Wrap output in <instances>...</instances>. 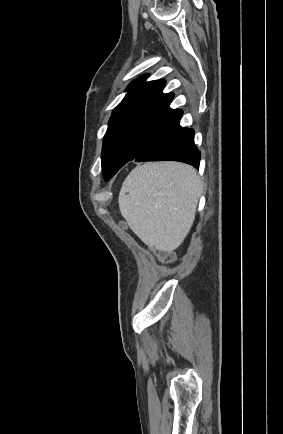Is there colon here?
<instances>
[{"instance_id": "obj_1", "label": "colon", "mask_w": 283, "mask_h": 434, "mask_svg": "<svg viewBox=\"0 0 283 434\" xmlns=\"http://www.w3.org/2000/svg\"><path fill=\"white\" fill-rule=\"evenodd\" d=\"M157 257H158L159 260H161V261H163V262H166V263H170V262H172V257H171V255L168 254V253L159 252V253L157 254Z\"/></svg>"}]
</instances>
